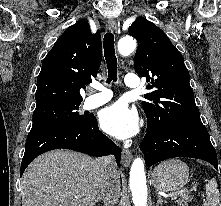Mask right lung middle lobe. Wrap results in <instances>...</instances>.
Returning a JSON list of instances; mask_svg holds the SVG:
<instances>
[{"label":"right lung middle lobe","instance_id":"obj_1","mask_svg":"<svg viewBox=\"0 0 221 206\" xmlns=\"http://www.w3.org/2000/svg\"><path fill=\"white\" fill-rule=\"evenodd\" d=\"M80 103H58L36 107L33 113L32 129L54 124H83L92 115H80Z\"/></svg>","mask_w":221,"mask_h":206}]
</instances>
